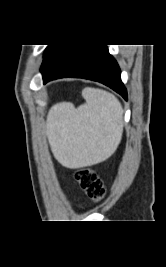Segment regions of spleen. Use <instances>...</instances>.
Listing matches in <instances>:
<instances>
[{
	"instance_id": "spleen-1",
	"label": "spleen",
	"mask_w": 166,
	"mask_h": 267,
	"mask_svg": "<svg viewBox=\"0 0 166 267\" xmlns=\"http://www.w3.org/2000/svg\"><path fill=\"white\" fill-rule=\"evenodd\" d=\"M86 103L54 106L47 116V134L56 159L69 168L100 163L117 149L123 133V109L111 93L86 87Z\"/></svg>"
}]
</instances>
